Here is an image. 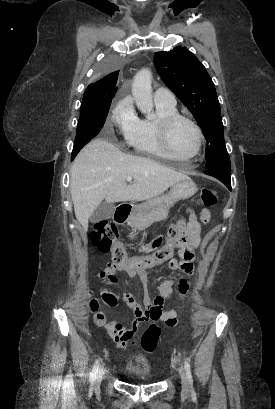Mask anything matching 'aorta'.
I'll use <instances>...</instances> for the list:
<instances>
[{
    "instance_id": "1",
    "label": "aorta",
    "mask_w": 275,
    "mask_h": 409,
    "mask_svg": "<svg viewBox=\"0 0 275 409\" xmlns=\"http://www.w3.org/2000/svg\"><path fill=\"white\" fill-rule=\"evenodd\" d=\"M151 82V70L149 68H142V70L135 74L132 84V94L135 98L136 106L145 114L148 120L155 118Z\"/></svg>"
}]
</instances>
